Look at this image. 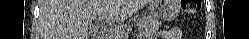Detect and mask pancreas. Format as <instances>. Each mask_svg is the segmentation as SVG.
I'll list each match as a JSON object with an SVG mask.
<instances>
[{
  "label": "pancreas",
  "instance_id": "obj_1",
  "mask_svg": "<svg viewBox=\"0 0 249 39\" xmlns=\"http://www.w3.org/2000/svg\"><path fill=\"white\" fill-rule=\"evenodd\" d=\"M137 26L143 38H149L157 32L161 26V22L155 17H143L137 20Z\"/></svg>",
  "mask_w": 249,
  "mask_h": 39
}]
</instances>
